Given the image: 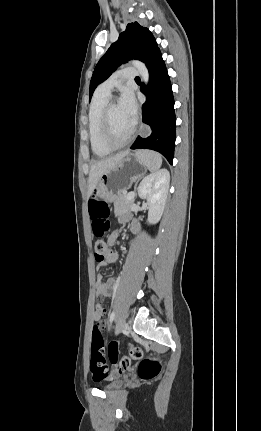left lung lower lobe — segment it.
<instances>
[{"label": "left lung lower lobe", "mask_w": 261, "mask_h": 431, "mask_svg": "<svg viewBox=\"0 0 261 431\" xmlns=\"http://www.w3.org/2000/svg\"><path fill=\"white\" fill-rule=\"evenodd\" d=\"M149 85L141 92L147 96L142 106L143 123L150 126L148 136H138L131 149H151L160 152L170 164L173 163L175 147V112L169 76L160 50L147 61Z\"/></svg>", "instance_id": "0a47b994"}]
</instances>
